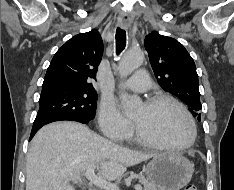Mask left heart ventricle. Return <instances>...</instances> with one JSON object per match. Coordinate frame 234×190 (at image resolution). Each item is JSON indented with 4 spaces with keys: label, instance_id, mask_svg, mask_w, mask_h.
Masks as SVG:
<instances>
[{
    "label": "left heart ventricle",
    "instance_id": "left-heart-ventricle-1",
    "mask_svg": "<svg viewBox=\"0 0 234 190\" xmlns=\"http://www.w3.org/2000/svg\"><path fill=\"white\" fill-rule=\"evenodd\" d=\"M151 139L169 144H182L190 138V126L182 111L168 101L153 106L142 104L133 115Z\"/></svg>",
    "mask_w": 234,
    "mask_h": 190
}]
</instances>
